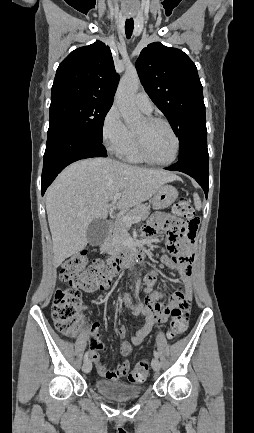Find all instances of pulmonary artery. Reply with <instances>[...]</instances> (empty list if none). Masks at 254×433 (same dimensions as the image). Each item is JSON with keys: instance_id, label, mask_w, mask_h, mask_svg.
<instances>
[{"instance_id": "e3ab8cb5", "label": "pulmonary artery", "mask_w": 254, "mask_h": 433, "mask_svg": "<svg viewBox=\"0 0 254 433\" xmlns=\"http://www.w3.org/2000/svg\"><path fill=\"white\" fill-rule=\"evenodd\" d=\"M135 104L139 110L146 114H150L153 110V104L148 95L144 92H140L135 97Z\"/></svg>"}]
</instances>
